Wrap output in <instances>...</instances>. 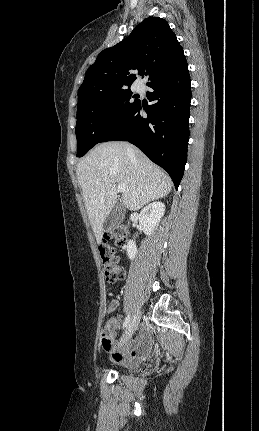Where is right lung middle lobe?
I'll return each instance as SVG.
<instances>
[{"mask_svg": "<svg viewBox=\"0 0 259 431\" xmlns=\"http://www.w3.org/2000/svg\"><path fill=\"white\" fill-rule=\"evenodd\" d=\"M130 88L87 97L77 107V157L85 155L139 103Z\"/></svg>", "mask_w": 259, "mask_h": 431, "instance_id": "1", "label": "right lung middle lobe"}]
</instances>
